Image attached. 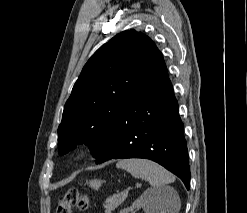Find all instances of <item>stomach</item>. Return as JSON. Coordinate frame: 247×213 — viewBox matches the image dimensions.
Instances as JSON below:
<instances>
[{"label":"stomach","mask_w":247,"mask_h":213,"mask_svg":"<svg viewBox=\"0 0 247 213\" xmlns=\"http://www.w3.org/2000/svg\"><path fill=\"white\" fill-rule=\"evenodd\" d=\"M101 184H102V181L101 180H97V179L91 180L89 182V186L91 188H93V189H96V190L99 189V187L101 186Z\"/></svg>","instance_id":"1"}]
</instances>
